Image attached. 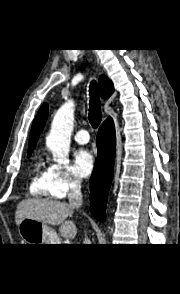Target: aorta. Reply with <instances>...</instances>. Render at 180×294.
<instances>
[{
	"label": "aorta",
	"mask_w": 180,
	"mask_h": 294,
	"mask_svg": "<svg viewBox=\"0 0 180 294\" xmlns=\"http://www.w3.org/2000/svg\"><path fill=\"white\" fill-rule=\"evenodd\" d=\"M73 121L74 103L68 101L56 112L46 138V146L52 152L54 160L58 162H62L68 156Z\"/></svg>",
	"instance_id": "aorta-1"
}]
</instances>
